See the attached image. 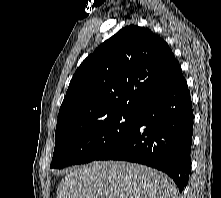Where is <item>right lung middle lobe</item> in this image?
<instances>
[{
  "mask_svg": "<svg viewBox=\"0 0 221 198\" xmlns=\"http://www.w3.org/2000/svg\"><path fill=\"white\" fill-rule=\"evenodd\" d=\"M136 119L137 114L117 113L55 137L50 168L61 169L95 160L125 137L134 127Z\"/></svg>",
  "mask_w": 221,
  "mask_h": 198,
  "instance_id": "right-lung-middle-lobe-1",
  "label": "right lung middle lobe"
}]
</instances>
